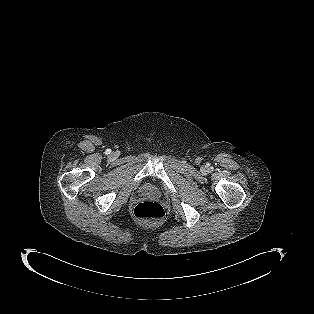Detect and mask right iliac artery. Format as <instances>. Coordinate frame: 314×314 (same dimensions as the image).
<instances>
[{
	"label": "right iliac artery",
	"instance_id": "1",
	"mask_svg": "<svg viewBox=\"0 0 314 314\" xmlns=\"http://www.w3.org/2000/svg\"><path fill=\"white\" fill-rule=\"evenodd\" d=\"M107 152L110 153V150L108 149Z\"/></svg>",
	"mask_w": 314,
	"mask_h": 314
}]
</instances>
